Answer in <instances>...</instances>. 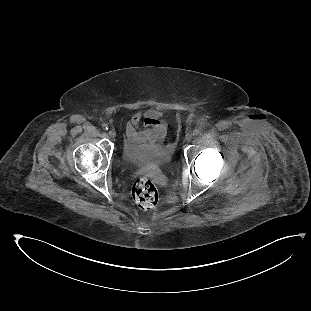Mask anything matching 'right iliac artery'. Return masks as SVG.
Listing matches in <instances>:
<instances>
[{"mask_svg": "<svg viewBox=\"0 0 311 311\" xmlns=\"http://www.w3.org/2000/svg\"><path fill=\"white\" fill-rule=\"evenodd\" d=\"M102 128H103L104 130H108V125H107V124H103V125H102Z\"/></svg>", "mask_w": 311, "mask_h": 311, "instance_id": "obj_1", "label": "right iliac artery"}]
</instances>
